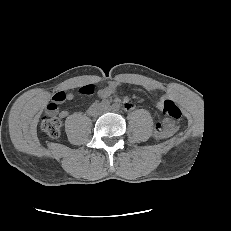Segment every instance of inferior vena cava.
Instances as JSON below:
<instances>
[{"instance_id":"602c4592","label":"inferior vena cava","mask_w":231,"mask_h":231,"mask_svg":"<svg viewBox=\"0 0 231 231\" xmlns=\"http://www.w3.org/2000/svg\"><path fill=\"white\" fill-rule=\"evenodd\" d=\"M102 108H100V106L99 105H92L90 108H89V110H88V113L90 114V115H99L101 112H102Z\"/></svg>"}]
</instances>
